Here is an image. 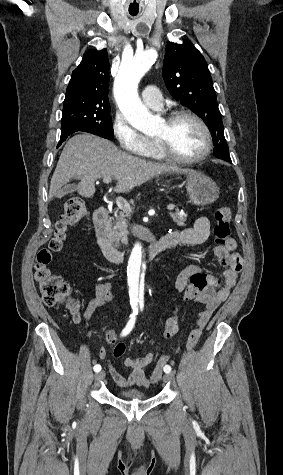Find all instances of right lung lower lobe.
Here are the masks:
<instances>
[{
	"instance_id": "obj_1",
	"label": "right lung lower lobe",
	"mask_w": 283,
	"mask_h": 475,
	"mask_svg": "<svg viewBox=\"0 0 283 475\" xmlns=\"http://www.w3.org/2000/svg\"><path fill=\"white\" fill-rule=\"evenodd\" d=\"M74 132H76V131H74V130H69V131L62 132V133H61V137H60V141H59V144H58L57 147H59V146L61 145V143H62L63 141H65L66 138H67L69 135H71L72 133H74Z\"/></svg>"
}]
</instances>
